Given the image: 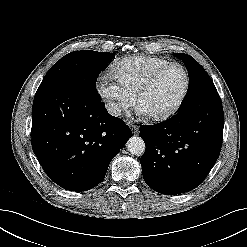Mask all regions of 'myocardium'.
<instances>
[{"label":"myocardium","instance_id":"myocardium-1","mask_svg":"<svg viewBox=\"0 0 247 247\" xmlns=\"http://www.w3.org/2000/svg\"><path fill=\"white\" fill-rule=\"evenodd\" d=\"M172 67H178L180 68L185 76V85L183 88V91L180 95V97L178 98V100L176 101V103L170 107L169 109H167L164 112L161 113H157V114H146L147 117L151 120L154 121H163L166 120L168 118H170L171 116H173L174 114H176L180 108L182 107V105L184 104L187 95L189 93L190 90V76L188 73V70L185 68V66H183L180 63L177 62H170L164 66L159 67L158 69H156L155 71H153L138 87V89L135 92L134 95V101L136 104L137 108H140V101L143 97V95L153 86V84L156 82V80L158 79V77L167 69L172 68Z\"/></svg>","mask_w":247,"mask_h":247}]
</instances>
